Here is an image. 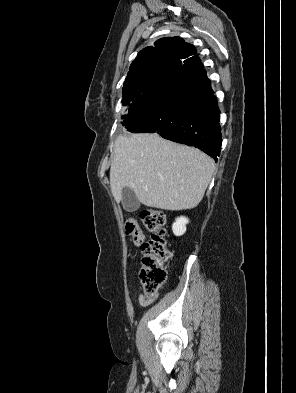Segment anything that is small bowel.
Returning <instances> with one entry per match:
<instances>
[{
	"mask_svg": "<svg viewBox=\"0 0 296 393\" xmlns=\"http://www.w3.org/2000/svg\"><path fill=\"white\" fill-rule=\"evenodd\" d=\"M158 297V294H156L153 297L145 296L143 293H140L138 295V302L141 306L145 307L153 303Z\"/></svg>",
	"mask_w": 296,
	"mask_h": 393,
	"instance_id": "obj_1",
	"label": "small bowel"
}]
</instances>
